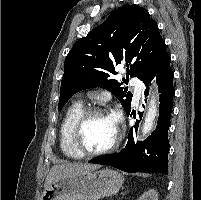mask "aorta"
I'll return each instance as SVG.
<instances>
[{"instance_id":"obj_1","label":"aorta","mask_w":201,"mask_h":200,"mask_svg":"<svg viewBox=\"0 0 201 200\" xmlns=\"http://www.w3.org/2000/svg\"><path fill=\"white\" fill-rule=\"evenodd\" d=\"M157 114H158L157 95L156 92H152L149 99L148 110L142 127L143 136L151 131Z\"/></svg>"}]
</instances>
